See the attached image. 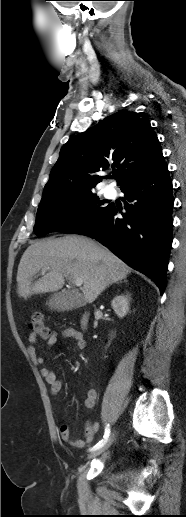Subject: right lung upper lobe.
Instances as JSON below:
<instances>
[{
  "label": "right lung upper lobe",
  "mask_w": 186,
  "mask_h": 517,
  "mask_svg": "<svg viewBox=\"0 0 186 517\" xmlns=\"http://www.w3.org/2000/svg\"><path fill=\"white\" fill-rule=\"evenodd\" d=\"M165 163L150 121L120 110L68 140L51 170L41 202L93 188L102 181L96 172L110 166L120 171V188Z\"/></svg>",
  "instance_id": "cb5924a9"
}]
</instances>
